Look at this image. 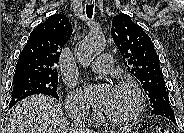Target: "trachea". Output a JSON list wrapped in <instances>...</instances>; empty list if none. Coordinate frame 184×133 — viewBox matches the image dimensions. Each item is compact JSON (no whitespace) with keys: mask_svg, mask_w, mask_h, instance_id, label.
Returning a JSON list of instances; mask_svg holds the SVG:
<instances>
[{"mask_svg":"<svg viewBox=\"0 0 184 133\" xmlns=\"http://www.w3.org/2000/svg\"><path fill=\"white\" fill-rule=\"evenodd\" d=\"M93 8H94V5L93 4H87L86 5V14H87V17L88 18H92Z\"/></svg>","mask_w":184,"mask_h":133,"instance_id":"obj_1","label":"trachea"}]
</instances>
